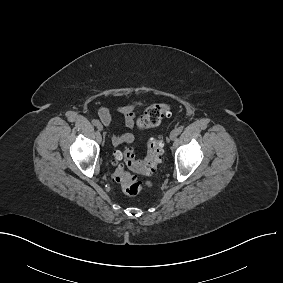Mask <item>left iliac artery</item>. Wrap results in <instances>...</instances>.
<instances>
[{"label": "left iliac artery", "mask_w": 283, "mask_h": 283, "mask_svg": "<svg viewBox=\"0 0 283 283\" xmlns=\"http://www.w3.org/2000/svg\"><path fill=\"white\" fill-rule=\"evenodd\" d=\"M176 130H177V133L180 134L183 130V126H179Z\"/></svg>", "instance_id": "obj_1"}]
</instances>
